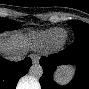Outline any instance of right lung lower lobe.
Segmentation results:
<instances>
[{"label":"right lung lower lobe","mask_w":89,"mask_h":89,"mask_svg":"<svg viewBox=\"0 0 89 89\" xmlns=\"http://www.w3.org/2000/svg\"><path fill=\"white\" fill-rule=\"evenodd\" d=\"M30 58L23 61L11 62L0 58V86L1 89H15L19 78L24 76L32 65Z\"/></svg>","instance_id":"right-lung-lower-lobe-1"}]
</instances>
